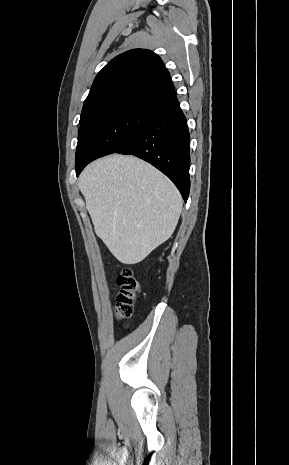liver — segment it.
Masks as SVG:
<instances>
[{
	"mask_svg": "<svg viewBox=\"0 0 289 465\" xmlns=\"http://www.w3.org/2000/svg\"><path fill=\"white\" fill-rule=\"evenodd\" d=\"M78 187L98 237L124 264H136L173 234L182 210L174 184L149 163L114 154L89 164Z\"/></svg>",
	"mask_w": 289,
	"mask_h": 465,
	"instance_id": "6515ba94",
	"label": "liver"
}]
</instances>
